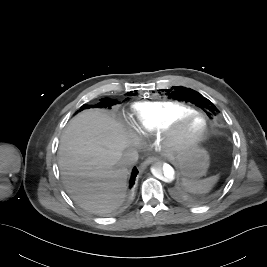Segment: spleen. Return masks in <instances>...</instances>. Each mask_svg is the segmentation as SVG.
<instances>
[{
    "label": "spleen",
    "instance_id": "spleen-1",
    "mask_svg": "<svg viewBox=\"0 0 267 267\" xmlns=\"http://www.w3.org/2000/svg\"><path fill=\"white\" fill-rule=\"evenodd\" d=\"M218 176H211L202 180H188L183 179V185L185 189L192 193H206L217 182Z\"/></svg>",
    "mask_w": 267,
    "mask_h": 267
}]
</instances>
